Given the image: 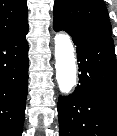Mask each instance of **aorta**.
Masks as SVG:
<instances>
[{"mask_svg":"<svg viewBox=\"0 0 117 136\" xmlns=\"http://www.w3.org/2000/svg\"><path fill=\"white\" fill-rule=\"evenodd\" d=\"M56 79L62 94H69L76 84L77 68L70 36L59 32L54 37Z\"/></svg>","mask_w":117,"mask_h":136,"instance_id":"obj_1","label":"aorta"}]
</instances>
